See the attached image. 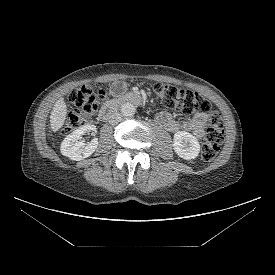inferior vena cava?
I'll list each match as a JSON object with an SVG mask.
<instances>
[{
	"label": "inferior vena cava",
	"instance_id": "inferior-vena-cava-1",
	"mask_svg": "<svg viewBox=\"0 0 275 275\" xmlns=\"http://www.w3.org/2000/svg\"><path fill=\"white\" fill-rule=\"evenodd\" d=\"M122 120V115L119 112H114L109 116V123L111 125H116Z\"/></svg>",
	"mask_w": 275,
	"mask_h": 275
}]
</instances>
